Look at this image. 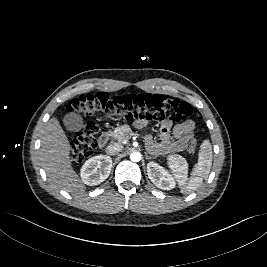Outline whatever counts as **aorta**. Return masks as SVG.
<instances>
[{
	"label": "aorta",
	"mask_w": 267,
	"mask_h": 267,
	"mask_svg": "<svg viewBox=\"0 0 267 267\" xmlns=\"http://www.w3.org/2000/svg\"><path fill=\"white\" fill-rule=\"evenodd\" d=\"M130 159L133 162H139L141 160V153H139V152H133V153H131Z\"/></svg>",
	"instance_id": "1"
}]
</instances>
